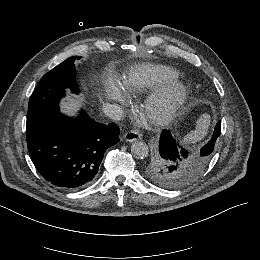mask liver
Here are the masks:
<instances>
[{
	"instance_id": "1",
	"label": "liver",
	"mask_w": 260,
	"mask_h": 260,
	"mask_svg": "<svg viewBox=\"0 0 260 260\" xmlns=\"http://www.w3.org/2000/svg\"><path fill=\"white\" fill-rule=\"evenodd\" d=\"M69 92V91H67ZM81 99H73L70 96L65 97L60 102L61 111L70 116H74L75 112L83 104Z\"/></svg>"
}]
</instances>
